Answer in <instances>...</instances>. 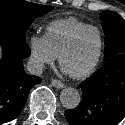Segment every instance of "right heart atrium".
Returning <instances> with one entry per match:
<instances>
[{"label":"right heart atrium","mask_w":125,"mask_h":125,"mask_svg":"<svg viewBox=\"0 0 125 125\" xmlns=\"http://www.w3.org/2000/svg\"><path fill=\"white\" fill-rule=\"evenodd\" d=\"M30 63L36 71H41L46 65L56 60V55L46 43L44 35L33 34L28 39Z\"/></svg>","instance_id":"d8ad5b80"}]
</instances>
